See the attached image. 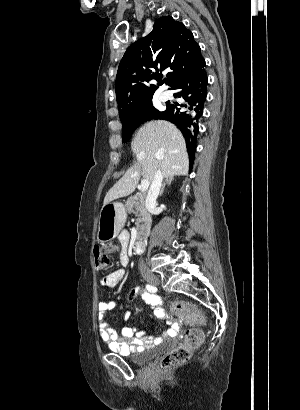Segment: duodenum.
Here are the masks:
<instances>
[{
	"label": "duodenum",
	"instance_id": "410a0bca",
	"mask_svg": "<svg viewBox=\"0 0 300 410\" xmlns=\"http://www.w3.org/2000/svg\"><path fill=\"white\" fill-rule=\"evenodd\" d=\"M144 248H145V238L144 237L138 238L132 244V249L135 253L143 252Z\"/></svg>",
	"mask_w": 300,
	"mask_h": 410
}]
</instances>
